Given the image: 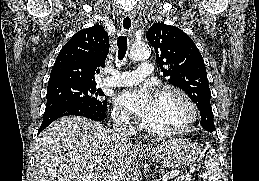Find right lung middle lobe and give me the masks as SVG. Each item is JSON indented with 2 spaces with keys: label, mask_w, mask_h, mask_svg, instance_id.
<instances>
[{
  "label": "right lung middle lobe",
  "mask_w": 259,
  "mask_h": 181,
  "mask_svg": "<svg viewBox=\"0 0 259 181\" xmlns=\"http://www.w3.org/2000/svg\"><path fill=\"white\" fill-rule=\"evenodd\" d=\"M104 93L96 84L61 83L47 88V104L44 115L64 106H85L93 109L107 107L106 100L99 97Z\"/></svg>",
  "instance_id": "1"
}]
</instances>
